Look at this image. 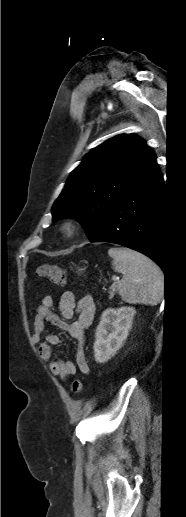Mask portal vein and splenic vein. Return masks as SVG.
<instances>
[{"label":"portal vein and splenic vein","instance_id":"portal-vein-and-splenic-vein-1","mask_svg":"<svg viewBox=\"0 0 186 517\" xmlns=\"http://www.w3.org/2000/svg\"><path fill=\"white\" fill-rule=\"evenodd\" d=\"M119 277H113V281H118Z\"/></svg>","mask_w":186,"mask_h":517}]
</instances>
